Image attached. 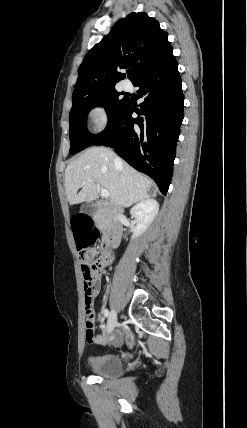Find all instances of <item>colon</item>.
Listing matches in <instances>:
<instances>
[{
    "label": "colon",
    "instance_id": "1",
    "mask_svg": "<svg viewBox=\"0 0 247 428\" xmlns=\"http://www.w3.org/2000/svg\"><path fill=\"white\" fill-rule=\"evenodd\" d=\"M70 221L72 224V237L74 245L78 251H87L88 243H94L98 236L96 226H93L94 219L89 217V212H70ZM81 269L84 280V293L86 298L85 304V325L86 336L88 341H93L95 333L94 326V311L93 306L89 302V294L91 286L100 278V269L103 266V261L93 260L90 253L81 252Z\"/></svg>",
    "mask_w": 247,
    "mask_h": 428
}]
</instances>
